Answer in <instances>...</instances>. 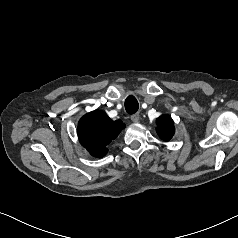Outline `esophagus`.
<instances>
[{
    "label": "esophagus",
    "instance_id": "obj_1",
    "mask_svg": "<svg viewBox=\"0 0 238 238\" xmlns=\"http://www.w3.org/2000/svg\"><path fill=\"white\" fill-rule=\"evenodd\" d=\"M139 118H140L139 113H135V114L131 115V120L134 123H137L139 121Z\"/></svg>",
    "mask_w": 238,
    "mask_h": 238
}]
</instances>
